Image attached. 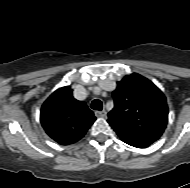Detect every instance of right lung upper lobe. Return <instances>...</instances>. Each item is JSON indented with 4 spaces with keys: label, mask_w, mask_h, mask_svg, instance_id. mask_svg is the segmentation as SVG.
Wrapping results in <instances>:
<instances>
[{
    "label": "right lung upper lobe",
    "mask_w": 190,
    "mask_h": 188,
    "mask_svg": "<svg viewBox=\"0 0 190 188\" xmlns=\"http://www.w3.org/2000/svg\"><path fill=\"white\" fill-rule=\"evenodd\" d=\"M95 120L86 103L72 96L70 86L52 93L41 108L42 127L49 137L61 145L79 141Z\"/></svg>",
    "instance_id": "cb5924a9"
}]
</instances>
